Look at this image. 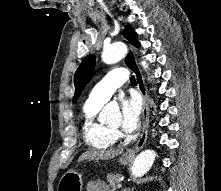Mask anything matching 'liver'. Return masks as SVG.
<instances>
[{
  "instance_id": "6515ba94",
  "label": "liver",
  "mask_w": 221,
  "mask_h": 191,
  "mask_svg": "<svg viewBox=\"0 0 221 191\" xmlns=\"http://www.w3.org/2000/svg\"><path fill=\"white\" fill-rule=\"evenodd\" d=\"M123 149H110V150H91L83 153L78 161L84 160H107L122 154Z\"/></svg>"
}]
</instances>
